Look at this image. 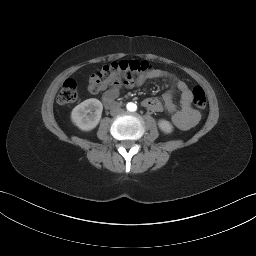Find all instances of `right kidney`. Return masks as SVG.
Masks as SVG:
<instances>
[{"mask_svg":"<svg viewBox=\"0 0 256 256\" xmlns=\"http://www.w3.org/2000/svg\"><path fill=\"white\" fill-rule=\"evenodd\" d=\"M102 111V103L98 99L90 98L73 108L71 120L80 130L90 131L98 125Z\"/></svg>","mask_w":256,"mask_h":256,"instance_id":"right-kidney-1","label":"right kidney"}]
</instances>
